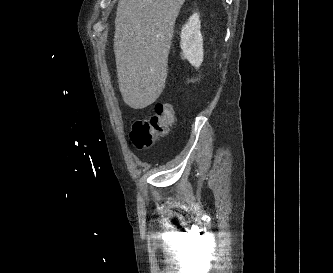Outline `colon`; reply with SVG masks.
I'll list each match as a JSON object with an SVG mask.
<instances>
[{
	"mask_svg": "<svg viewBox=\"0 0 333 273\" xmlns=\"http://www.w3.org/2000/svg\"><path fill=\"white\" fill-rule=\"evenodd\" d=\"M173 105L169 102H158L152 116L134 123L130 138L137 149L152 146L159 137L167 134L174 122Z\"/></svg>",
	"mask_w": 333,
	"mask_h": 273,
	"instance_id": "obj_1",
	"label": "colon"
}]
</instances>
